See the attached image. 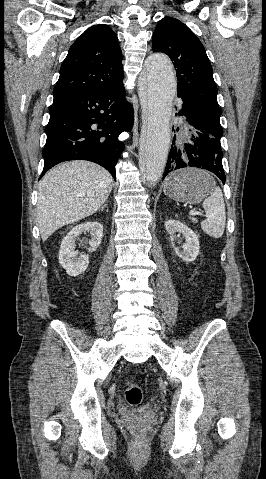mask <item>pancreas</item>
<instances>
[{
	"label": "pancreas",
	"mask_w": 266,
	"mask_h": 479,
	"mask_svg": "<svg viewBox=\"0 0 266 479\" xmlns=\"http://www.w3.org/2000/svg\"><path fill=\"white\" fill-rule=\"evenodd\" d=\"M192 222H193V223H197V220L194 219V218H192Z\"/></svg>",
	"instance_id": "obj_1"
}]
</instances>
